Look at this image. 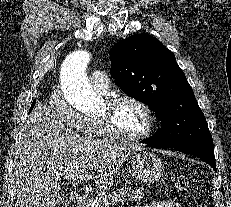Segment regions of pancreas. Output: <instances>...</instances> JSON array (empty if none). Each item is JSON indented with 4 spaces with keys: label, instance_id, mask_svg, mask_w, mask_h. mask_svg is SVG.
<instances>
[{
    "label": "pancreas",
    "instance_id": "obj_1",
    "mask_svg": "<svg viewBox=\"0 0 231 207\" xmlns=\"http://www.w3.org/2000/svg\"><path fill=\"white\" fill-rule=\"evenodd\" d=\"M142 189L125 190L117 189L105 197H99L92 203V207H111L118 204H125L127 201L133 202L143 198Z\"/></svg>",
    "mask_w": 231,
    "mask_h": 207
}]
</instances>
